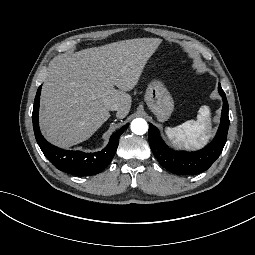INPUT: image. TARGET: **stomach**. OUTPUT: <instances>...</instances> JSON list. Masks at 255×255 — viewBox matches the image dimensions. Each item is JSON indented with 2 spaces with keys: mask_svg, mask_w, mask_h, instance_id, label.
Returning a JSON list of instances; mask_svg holds the SVG:
<instances>
[{
  "mask_svg": "<svg viewBox=\"0 0 255 255\" xmlns=\"http://www.w3.org/2000/svg\"><path fill=\"white\" fill-rule=\"evenodd\" d=\"M145 103L159 121H166L174 108L173 98L169 91L157 80L148 85Z\"/></svg>",
  "mask_w": 255,
  "mask_h": 255,
  "instance_id": "stomach-1",
  "label": "stomach"
}]
</instances>
